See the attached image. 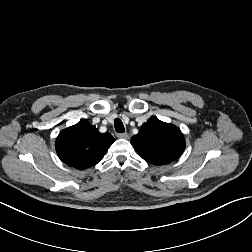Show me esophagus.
Returning a JSON list of instances; mask_svg holds the SVG:
<instances>
[{"instance_id":"1","label":"esophagus","mask_w":252,"mask_h":252,"mask_svg":"<svg viewBox=\"0 0 252 252\" xmlns=\"http://www.w3.org/2000/svg\"><path fill=\"white\" fill-rule=\"evenodd\" d=\"M117 137L122 139H128L129 135L127 133H118Z\"/></svg>"}]
</instances>
